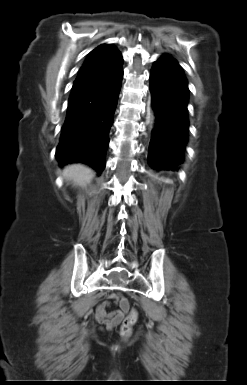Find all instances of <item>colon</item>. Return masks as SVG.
I'll return each instance as SVG.
<instances>
[{
    "label": "colon",
    "mask_w": 247,
    "mask_h": 385,
    "mask_svg": "<svg viewBox=\"0 0 247 385\" xmlns=\"http://www.w3.org/2000/svg\"><path fill=\"white\" fill-rule=\"evenodd\" d=\"M125 309L127 314L120 325L119 331L122 337L128 338L132 333L133 326L138 320L139 314L136 308H130L128 304L125 305Z\"/></svg>",
    "instance_id": "1"
}]
</instances>
